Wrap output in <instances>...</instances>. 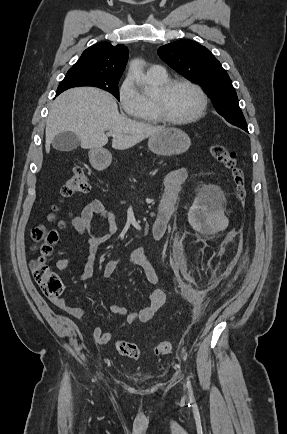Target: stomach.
I'll return each instance as SVG.
<instances>
[{
    "instance_id": "1",
    "label": "stomach",
    "mask_w": 287,
    "mask_h": 434,
    "mask_svg": "<svg viewBox=\"0 0 287 434\" xmlns=\"http://www.w3.org/2000/svg\"><path fill=\"white\" fill-rule=\"evenodd\" d=\"M191 146L189 136L178 128H165L157 134L150 136L148 147L151 152L161 156L179 155L186 152ZM91 163L95 167H107L112 161V155L103 148L91 149L89 152Z\"/></svg>"
}]
</instances>
